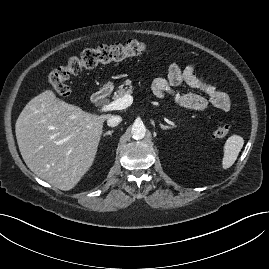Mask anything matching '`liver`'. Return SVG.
Returning <instances> with one entry per match:
<instances>
[{"mask_svg":"<svg viewBox=\"0 0 269 269\" xmlns=\"http://www.w3.org/2000/svg\"><path fill=\"white\" fill-rule=\"evenodd\" d=\"M109 116L85 112L51 90L42 92L27 103L16 121L24 162L54 187L71 190L92 166Z\"/></svg>","mask_w":269,"mask_h":269,"instance_id":"6515ba94","label":"liver"}]
</instances>
